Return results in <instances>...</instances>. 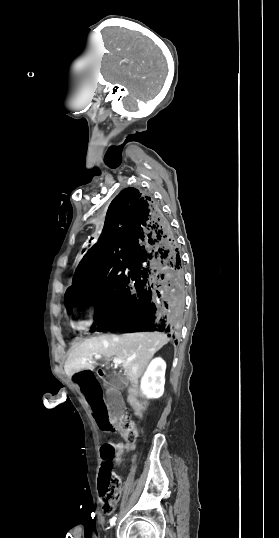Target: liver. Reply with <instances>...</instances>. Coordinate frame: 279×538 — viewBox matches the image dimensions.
Returning <instances> with one entry per match:
<instances>
[{
	"label": "liver",
	"mask_w": 279,
	"mask_h": 538,
	"mask_svg": "<svg viewBox=\"0 0 279 538\" xmlns=\"http://www.w3.org/2000/svg\"><path fill=\"white\" fill-rule=\"evenodd\" d=\"M169 342L166 334L160 332H136L123 336H100L89 338L79 346H74L64 366L66 374H76L81 370H94L92 362L95 354L105 358H119L125 376L130 380L133 400L138 396V380L149 360L162 346Z\"/></svg>",
	"instance_id": "obj_1"
}]
</instances>
